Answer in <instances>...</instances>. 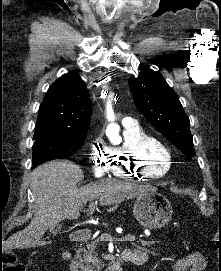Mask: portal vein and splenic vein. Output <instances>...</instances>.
Here are the masks:
<instances>
[{"mask_svg": "<svg viewBox=\"0 0 221 271\" xmlns=\"http://www.w3.org/2000/svg\"><path fill=\"white\" fill-rule=\"evenodd\" d=\"M102 237V242H111V240L114 242L116 239L114 238L113 234L104 233ZM136 234H122L121 237H119L117 240L119 242H136Z\"/></svg>", "mask_w": 221, "mask_h": 271, "instance_id": "obj_1", "label": "portal vein and splenic vein"}]
</instances>
